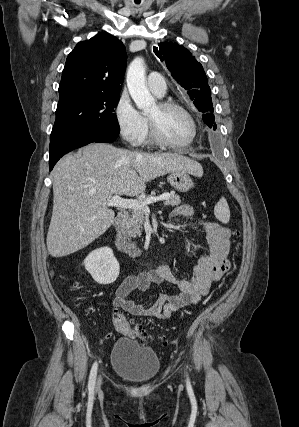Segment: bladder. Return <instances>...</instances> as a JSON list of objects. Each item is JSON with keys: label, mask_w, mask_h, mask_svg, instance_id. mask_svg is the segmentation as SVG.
I'll return each mask as SVG.
<instances>
[{"label": "bladder", "mask_w": 299, "mask_h": 427, "mask_svg": "<svg viewBox=\"0 0 299 427\" xmlns=\"http://www.w3.org/2000/svg\"><path fill=\"white\" fill-rule=\"evenodd\" d=\"M113 371L133 383H145L159 372L160 359L154 350L130 338L119 339L111 351Z\"/></svg>", "instance_id": "1"}]
</instances>
